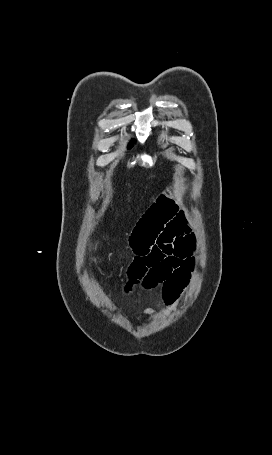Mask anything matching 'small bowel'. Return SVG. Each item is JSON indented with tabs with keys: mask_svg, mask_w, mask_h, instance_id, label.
<instances>
[{
	"mask_svg": "<svg viewBox=\"0 0 272 455\" xmlns=\"http://www.w3.org/2000/svg\"><path fill=\"white\" fill-rule=\"evenodd\" d=\"M134 259L128 268L126 290L141 283L161 287L172 302L189 280L193 267V236L173 192L164 194L137 222L130 237ZM154 310L147 308L144 315Z\"/></svg>",
	"mask_w": 272,
	"mask_h": 455,
	"instance_id": "small-bowel-1",
	"label": "small bowel"
}]
</instances>
